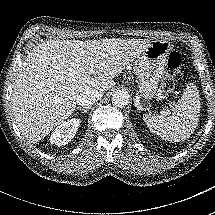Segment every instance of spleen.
Returning a JSON list of instances; mask_svg holds the SVG:
<instances>
[{
    "instance_id": "3e777b00",
    "label": "spleen",
    "mask_w": 215,
    "mask_h": 215,
    "mask_svg": "<svg viewBox=\"0 0 215 215\" xmlns=\"http://www.w3.org/2000/svg\"><path fill=\"white\" fill-rule=\"evenodd\" d=\"M200 114V100L193 85L184 89L171 112L162 114L146 113L143 121L150 131L170 142L186 140L197 126Z\"/></svg>"
}]
</instances>
